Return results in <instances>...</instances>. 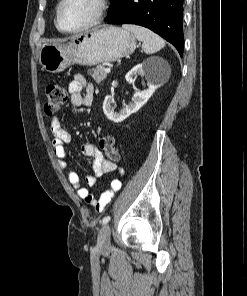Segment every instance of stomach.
I'll return each mask as SVG.
<instances>
[{
	"instance_id": "obj_1",
	"label": "stomach",
	"mask_w": 247,
	"mask_h": 296,
	"mask_svg": "<svg viewBox=\"0 0 247 296\" xmlns=\"http://www.w3.org/2000/svg\"><path fill=\"white\" fill-rule=\"evenodd\" d=\"M136 49L132 33L115 26L83 32L68 43H44L39 62L50 73H59L73 64L94 66L128 56Z\"/></svg>"
}]
</instances>
